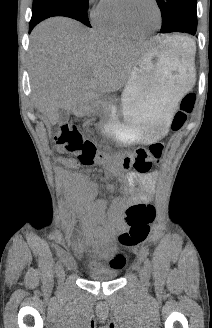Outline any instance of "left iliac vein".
Masks as SVG:
<instances>
[{
    "instance_id": "left-iliac-vein-1",
    "label": "left iliac vein",
    "mask_w": 212,
    "mask_h": 328,
    "mask_svg": "<svg viewBox=\"0 0 212 328\" xmlns=\"http://www.w3.org/2000/svg\"><path fill=\"white\" fill-rule=\"evenodd\" d=\"M140 281L142 284H146L148 281V276L145 267H140L139 269Z\"/></svg>"
}]
</instances>
